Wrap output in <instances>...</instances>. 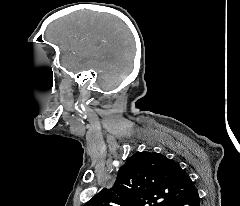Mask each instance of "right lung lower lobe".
I'll use <instances>...</instances> for the list:
<instances>
[{
  "instance_id": "obj_1",
  "label": "right lung lower lobe",
  "mask_w": 240,
  "mask_h": 206,
  "mask_svg": "<svg viewBox=\"0 0 240 206\" xmlns=\"http://www.w3.org/2000/svg\"><path fill=\"white\" fill-rule=\"evenodd\" d=\"M168 206H200V198L196 189H194L190 194L177 199Z\"/></svg>"
}]
</instances>
